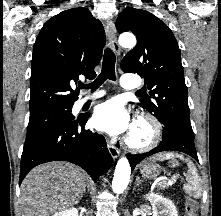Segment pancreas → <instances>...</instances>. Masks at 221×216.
Wrapping results in <instances>:
<instances>
[{
  "label": "pancreas",
  "instance_id": "cf45deb5",
  "mask_svg": "<svg viewBox=\"0 0 221 216\" xmlns=\"http://www.w3.org/2000/svg\"><path fill=\"white\" fill-rule=\"evenodd\" d=\"M161 188H162V189H165V188H167V185H166V184H162V185H161Z\"/></svg>",
  "mask_w": 221,
  "mask_h": 216
}]
</instances>
